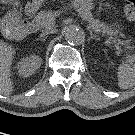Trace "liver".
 Returning a JSON list of instances; mask_svg holds the SVG:
<instances>
[{
  "label": "liver",
  "instance_id": "liver-1",
  "mask_svg": "<svg viewBox=\"0 0 135 135\" xmlns=\"http://www.w3.org/2000/svg\"><path fill=\"white\" fill-rule=\"evenodd\" d=\"M15 49L12 45L0 40V94L9 95L13 91L11 65Z\"/></svg>",
  "mask_w": 135,
  "mask_h": 135
}]
</instances>
